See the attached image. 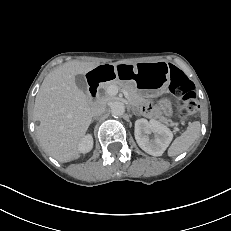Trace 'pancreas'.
<instances>
[{"label": "pancreas", "instance_id": "cf45deb5", "mask_svg": "<svg viewBox=\"0 0 231 231\" xmlns=\"http://www.w3.org/2000/svg\"><path fill=\"white\" fill-rule=\"evenodd\" d=\"M110 86H116L119 90L128 92L129 94L128 100L132 105H138L140 103L141 97L139 96L137 90L135 89L134 85L131 82L114 80L103 84L102 88L107 92V89ZM166 123L169 124V121L166 120Z\"/></svg>", "mask_w": 231, "mask_h": 231}]
</instances>
